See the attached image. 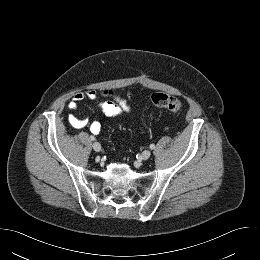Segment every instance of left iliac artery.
<instances>
[{
  "instance_id": "1",
  "label": "left iliac artery",
  "mask_w": 260,
  "mask_h": 260,
  "mask_svg": "<svg viewBox=\"0 0 260 260\" xmlns=\"http://www.w3.org/2000/svg\"><path fill=\"white\" fill-rule=\"evenodd\" d=\"M155 148V145L154 144H151L150 145V149L153 150Z\"/></svg>"
}]
</instances>
